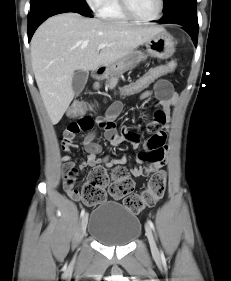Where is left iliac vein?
Here are the masks:
<instances>
[{
    "label": "left iliac vein",
    "instance_id": "4c4485c4",
    "mask_svg": "<svg viewBox=\"0 0 231 281\" xmlns=\"http://www.w3.org/2000/svg\"><path fill=\"white\" fill-rule=\"evenodd\" d=\"M146 236L148 238L150 248L153 254H158V248L154 239V235L149 225L145 226Z\"/></svg>",
    "mask_w": 231,
    "mask_h": 281
}]
</instances>
